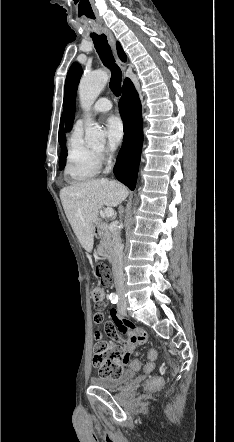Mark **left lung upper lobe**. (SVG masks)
Returning <instances> with one entry per match:
<instances>
[{"mask_svg": "<svg viewBox=\"0 0 234 442\" xmlns=\"http://www.w3.org/2000/svg\"><path fill=\"white\" fill-rule=\"evenodd\" d=\"M81 75L82 68L80 64L77 62L73 63L66 77L63 101V114L65 118V126L68 131L71 130L74 122L76 91Z\"/></svg>", "mask_w": 234, "mask_h": 442, "instance_id": "left-lung-upper-lobe-1", "label": "left lung upper lobe"}]
</instances>
